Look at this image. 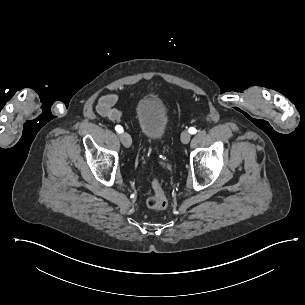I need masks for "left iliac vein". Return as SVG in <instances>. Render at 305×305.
Instances as JSON below:
<instances>
[{
  "mask_svg": "<svg viewBox=\"0 0 305 305\" xmlns=\"http://www.w3.org/2000/svg\"><path fill=\"white\" fill-rule=\"evenodd\" d=\"M190 139H191V135H190V133L188 131L182 132V134H181V141L184 144L189 143Z\"/></svg>",
  "mask_w": 305,
  "mask_h": 305,
  "instance_id": "4c4485c4",
  "label": "left iliac vein"
}]
</instances>
